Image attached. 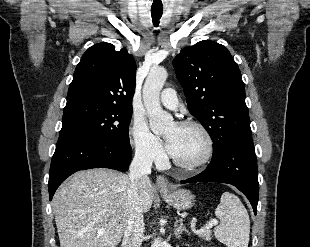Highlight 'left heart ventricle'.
<instances>
[{"label": "left heart ventricle", "instance_id": "b2bd125f", "mask_svg": "<svg viewBox=\"0 0 310 247\" xmlns=\"http://www.w3.org/2000/svg\"><path fill=\"white\" fill-rule=\"evenodd\" d=\"M165 137L173 142L172 156L183 163H194L200 160L206 150V143L202 133L193 127H179L173 125L165 132Z\"/></svg>", "mask_w": 310, "mask_h": 247}]
</instances>
